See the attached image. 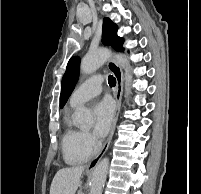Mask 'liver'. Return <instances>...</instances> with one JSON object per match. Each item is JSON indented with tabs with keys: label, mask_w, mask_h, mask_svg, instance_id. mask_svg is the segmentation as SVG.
Returning a JSON list of instances; mask_svg holds the SVG:
<instances>
[{
	"label": "liver",
	"mask_w": 201,
	"mask_h": 194,
	"mask_svg": "<svg viewBox=\"0 0 201 194\" xmlns=\"http://www.w3.org/2000/svg\"><path fill=\"white\" fill-rule=\"evenodd\" d=\"M84 169L85 166H75L57 171L50 186V194H75Z\"/></svg>",
	"instance_id": "obj_1"
}]
</instances>
